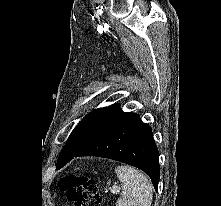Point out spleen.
<instances>
[{
  "mask_svg": "<svg viewBox=\"0 0 221 206\" xmlns=\"http://www.w3.org/2000/svg\"><path fill=\"white\" fill-rule=\"evenodd\" d=\"M123 193L116 206H151L153 193L149 179L139 170L130 166H117L115 169Z\"/></svg>",
  "mask_w": 221,
  "mask_h": 206,
  "instance_id": "1",
  "label": "spleen"
}]
</instances>
